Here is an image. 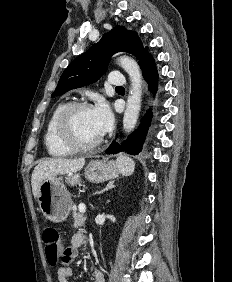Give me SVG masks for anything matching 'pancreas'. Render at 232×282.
Instances as JSON below:
<instances>
[{
	"mask_svg": "<svg viewBox=\"0 0 232 282\" xmlns=\"http://www.w3.org/2000/svg\"><path fill=\"white\" fill-rule=\"evenodd\" d=\"M73 218H74V227H82L85 224L86 217L83 214L73 212Z\"/></svg>",
	"mask_w": 232,
	"mask_h": 282,
	"instance_id": "cf45deb5",
	"label": "pancreas"
}]
</instances>
